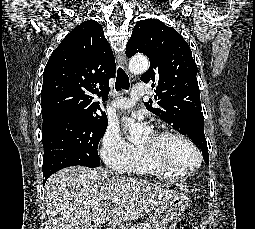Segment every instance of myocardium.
<instances>
[{"label": "myocardium", "mask_w": 255, "mask_h": 229, "mask_svg": "<svg viewBox=\"0 0 255 229\" xmlns=\"http://www.w3.org/2000/svg\"><path fill=\"white\" fill-rule=\"evenodd\" d=\"M153 136L156 139H163L166 137L179 138L182 141L186 142L194 150V152L197 155L198 161L194 166L178 169V168H175V167L171 166L170 164L166 163L164 160H162V158L155 151L141 146V148L147 153V155L150 158L155 160L158 165H160L161 167L168 170L171 174H173L175 176H184L186 174L194 172L201 166V164L203 162L202 153H201L200 149L198 148V146L194 143V141L192 139H190L188 136H186L185 134L178 132V131H160V132L153 133Z\"/></svg>", "instance_id": "myocardium-1"}]
</instances>
